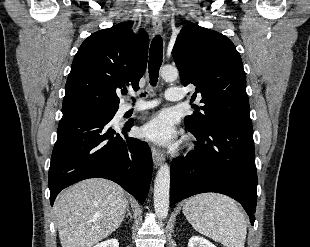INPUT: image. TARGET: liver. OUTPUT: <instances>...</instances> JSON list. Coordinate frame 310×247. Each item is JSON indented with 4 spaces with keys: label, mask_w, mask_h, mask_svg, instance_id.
Returning a JSON list of instances; mask_svg holds the SVG:
<instances>
[{
    "label": "liver",
    "mask_w": 310,
    "mask_h": 247,
    "mask_svg": "<svg viewBox=\"0 0 310 247\" xmlns=\"http://www.w3.org/2000/svg\"><path fill=\"white\" fill-rule=\"evenodd\" d=\"M128 201L109 180H83L64 190L54 204L62 247H92L121 224Z\"/></svg>",
    "instance_id": "6515ba94"
}]
</instances>
